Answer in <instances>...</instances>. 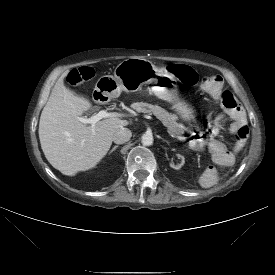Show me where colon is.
Masks as SVG:
<instances>
[{
	"label": "colon",
	"instance_id": "5ec220e1",
	"mask_svg": "<svg viewBox=\"0 0 275 275\" xmlns=\"http://www.w3.org/2000/svg\"><path fill=\"white\" fill-rule=\"evenodd\" d=\"M170 72L176 75L180 81L187 86H195L199 82L207 85L210 81L213 80V77H204L202 79L199 78L198 74L190 67L181 65V64H173L169 66ZM93 76V70L89 67H82L77 70H73L69 73L67 77V82L71 87H77L80 84L89 81ZM221 103L222 107L225 111L231 110L236 101L232 95V93L228 90H225L221 94ZM249 137V130L247 127H243L238 130L235 134V143H234V151L241 150L247 143Z\"/></svg>",
	"mask_w": 275,
	"mask_h": 275
}]
</instances>
